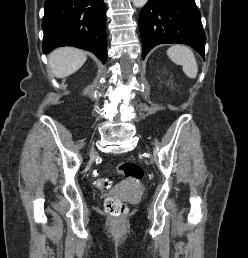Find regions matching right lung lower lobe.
I'll return each mask as SVG.
<instances>
[{"instance_id":"1","label":"right lung lower lobe","mask_w":248,"mask_h":258,"mask_svg":"<svg viewBox=\"0 0 248 258\" xmlns=\"http://www.w3.org/2000/svg\"><path fill=\"white\" fill-rule=\"evenodd\" d=\"M42 48L75 46L107 59L106 8L103 0H46Z\"/></svg>"}]
</instances>
